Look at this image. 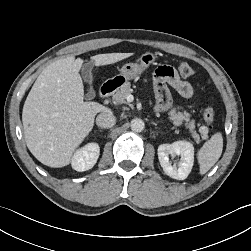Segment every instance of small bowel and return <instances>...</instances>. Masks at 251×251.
Segmentation results:
<instances>
[{
  "label": "small bowel",
  "mask_w": 251,
  "mask_h": 251,
  "mask_svg": "<svg viewBox=\"0 0 251 251\" xmlns=\"http://www.w3.org/2000/svg\"><path fill=\"white\" fill-rule=\"evenodd\" d=\"M153 84L157 111H165L171 107L168 86L174 88L184 98H191L194 94L192 85L182 80L177 72L169 66H161L155 71Z\"/></svg>",
  "instance_id": "obj_1"
}]
</instances>
